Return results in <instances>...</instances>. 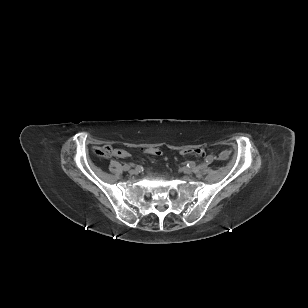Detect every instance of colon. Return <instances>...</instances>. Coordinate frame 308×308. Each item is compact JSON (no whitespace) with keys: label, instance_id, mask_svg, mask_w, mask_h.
<instances>
[{"label":"colon","instance_id":"colon-1","mask_svg":"<svg viewBox=\"0 0 308 308\" xmlns=\"http://www.w3.org/2000/svg\"><path fill=\"white\" fill-rule=\"evenodd\" d=\"M146 153L151 154V155H158L160 152L158 149L155 148H147L145 149ZM96 153L100 156H109V155H113L115 157H119V158H125L128 156V152L120 149V148H116L113 149L111 146L106 145V147H102V148H98L96 149ZM183 154H190V155H195V156H202L204 155L205 151L203 148H196V149H185L182 151Z\"/></svg>","mask_w":308,"mask_h":308}]
</instances>
